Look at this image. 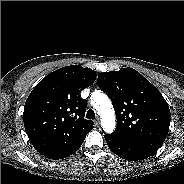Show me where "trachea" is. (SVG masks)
Segmentation results:
<instances>
[{"label":"trachea","instance_id":"1","mask_svg":"<svg viewBox=\"0 0 184 184\" xmlns=\"http://www.w3.org/2000/svg\"><path fill=\"white\" fill-rule=\"evenodd\" d=\"M86 118H87V119H92V120H93V119L95 118L94 110L89 109V110L87 111Z\"/></svg>","mask_w":184,"mask_h":184}]
</instances>
